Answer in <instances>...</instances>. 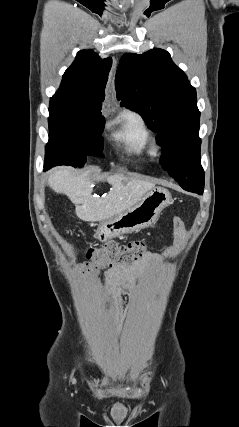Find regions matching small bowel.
<instances>
[{
    "label": "small bowel",
    "instance_id": "obj_1",
    "mask_svg": "<svg viewBox=\"0 0 239 427\" xmlns=\"http://www.w3.org/2000/svg\"><path fill=\"white\" fill-rule=\"evenodd\" d=\"M174 225L177 228V235L182 236L184 234L182 221L175 219ZM163 260L164 257L159 254L147 253L142 259L135 261L131 265L114 266L107 272L109 285L115 290L130 292L134 297L130 309H134L139 301V287L141 283L146 281V272L150 269L159 268ZM114 317L118 319V308H116Z\"/></svg>",
    "mask_w": 239,
    "mask_h": 427
}]
</instances>
